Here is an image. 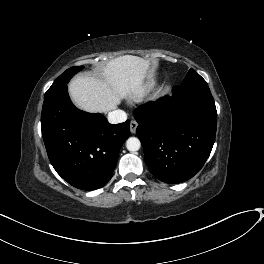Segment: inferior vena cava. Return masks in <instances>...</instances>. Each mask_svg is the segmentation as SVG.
<instances>
[{"mask_svg": "<svg viewBox=\"0 0 264 264\" xmlns=\"http://www.w3.org/2000/svg\"><path fill=\"white\" fill-rule=\"evenodd\" d=\"M127 120V114L120 109L114 110L112 112H109L108 114V121L111 124H117L122 123Z\"/></svg>", "mask_w": 264, "mask_h": 264, "instance_id": "inferior-vena-cava-1", "label": "inferior vena cava"}]
</instances>
